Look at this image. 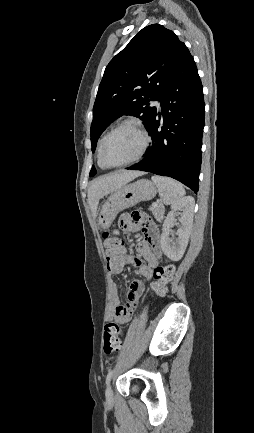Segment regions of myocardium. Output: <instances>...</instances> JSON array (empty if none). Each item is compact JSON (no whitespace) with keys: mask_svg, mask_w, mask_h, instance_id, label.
Masks as SVG:
<instances>
[{"mask_svg":"<svg viewBox=\"0 0 254 433\" xmlns=\"http://www.w3.org/2000/svg\"><path fill=\"white\" fill-rule=\"evenodd\" d=\"M125 126H132V127H134L140 133V135L142 136V139H143L142 147H141L140 151L137 153L136 156H134L132 159H130V160L124 162V163H121V164H110V163H107L104 160V157H103V150H104L105 144H106L107 140L110 138V136L112 134H114L120 128L125 127ZM150 142H151V138H150L148 132L145 130V128L143 127V125L139 121L134 120V119L124 120V121L120 122L118 125H116L113 129H111L104 136V138H103V140L101 142L100 148H99V152H98L99 161L106 168H120V167L128 166L130 164H133V163L139 161L145 155V153L147 152V150L149 148Z\"/></svg>","mask_w":254,"mask_h":433,"instance_id":"obj_1","label":"myocardium"}]
</instances>
